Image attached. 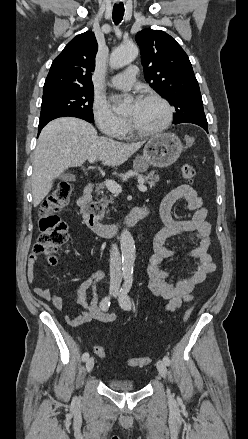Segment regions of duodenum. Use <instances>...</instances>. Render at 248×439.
<instances>
[{
    "mask_svg": "<svg viewBox=\"0 0 248 439\" xmlns=\"http://www.w3.org/2000/svg\"><path fill=\"white\" fill-rule=\"evenodd\" d=\"M95 190L96 187L94 183H87L77 201V204L84 223L92 232L98 235L114 236L123 229L130 227L139 220L145 218L149 213L148 207H134L123 220L115 223H103L100 221L101 208L91 200Z\"/></svg>",
    "mask_w": 248,
    "mask_h": 439,
    "instance_id": "410a0bca",
    "label": "duodenum"
}]
</instances>
